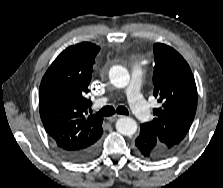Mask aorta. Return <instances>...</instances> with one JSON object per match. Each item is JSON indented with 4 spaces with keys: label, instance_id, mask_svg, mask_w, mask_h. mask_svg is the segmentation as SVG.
I'll return each instance as SVG.
<instances>
[{
    "label": "aorta",
    "instance_id": "aorta-1",
    "mask_svg": "<svg viewBox=\"0 0 223 188\" xmlns=\"http://www.w3.org/2000/svg\"><path fill=\"white\" fill-rule=\"evenodd\" d=\"M110 82L117 88H124L130 82L128 70L120 65L111 67L109 71ZM116 130L125 136H131L137 131V123L130 117H122L116 122Z\"/></svg>",
    "mask_w": 223,
    "mask_h": 188
}]
</instances>
